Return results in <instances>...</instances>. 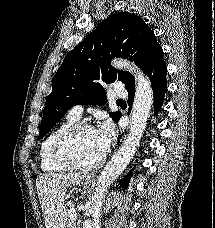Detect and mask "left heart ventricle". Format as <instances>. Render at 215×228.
I'll return each mask as SVG.
<instances>
[{
  "label": "left heart ventricle",
  "instance_id": "b2bd125f",
  "mask_svg": "<svg viewBox=\"0 0 215 228\" xmlns=\"http://www.w3.org/2000/svg\"><path fill=\"white\" fill-rule=\"evenodd\" d=\"M68 158L78 165H88L97 161L104 153L96 139L95 130H81L66 144Z\"/></svg>",
  "mask_w": 215,
  "mask_h": 228
}]
</instances>
